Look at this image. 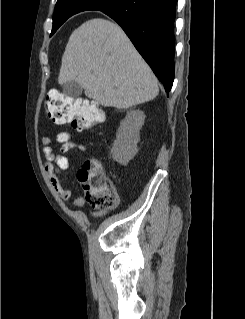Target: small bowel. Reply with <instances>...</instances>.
<instances>
[{"label": "small bowel", "instance_id": "obj_1", "mask_svg": "<svg viewBox=\"0 0 245 319\" xmlns=\"http://www.w3.org/2000/svg\"><path fill=\"white\" fill-rule=\"evenodd\" d=\"M55 141L60 145V152L62 154L54 152L53 142L50 137L45 136L42 138L43 153L46 159L44 168L55 191L63 200H69L72 196V192L70 189L62 186L60 178L61 172L67 170L69 167V159L64 154L71 150L85 151L87 147L81 142L72 140L70 134L66 131L58 132ZM83 204L84 200L80 196L73 202L75 207H81ZM104 215H106L105 211L92 213L94 218H101Z\"/></svg>", "mask_w": 245, "mask_h": 319}]
</instances>
